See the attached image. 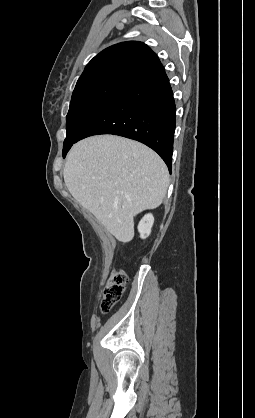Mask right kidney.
I'll use <instances>...</instances> for the list:
<instances>
[{
    "instance_id": "1",
    "label": "right kidney",
    "mask_w": 255,
    "mask_h": 418,
    "mask_svg": "<svg viewBox=\"0 0 255 418\" xmlns=\"http://www.w3.org/2000/svg\"><path fill=\"white\" fill-rule=\"evenodd\" d=\"M154 223V217L152 214H146L138 225V231L140 233V237L145 239L147 238L151 233V228Z\"/></svg>"
}]
</instances>
